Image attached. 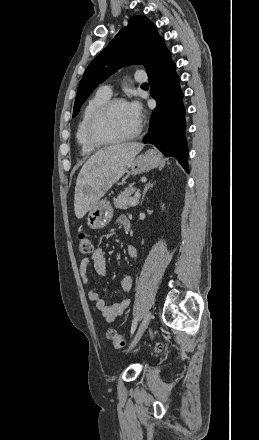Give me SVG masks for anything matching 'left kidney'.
<instances>
[{"label": "left kidney", "instance_id": "left-kidney-1", "mask_svg": "<svg viewBox=\"0 0 259 440\" xmlns=\"http://www.w3.org/2000/svg\"><path fill=\"white\" fill-rule=\"evenodd\" d=\"M162 209H164V205H162Z\"/></svg>", "mask_w": 259, "mask_h": 440}]
</instances>
